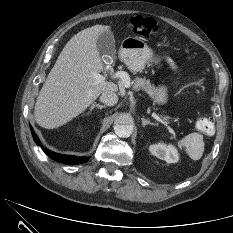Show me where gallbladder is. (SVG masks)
<instances>
[{"label":"gallbladder","instance_id":"bac80fb5","mask_svg":"<svg viewBox=\"0 0 233 233\" xmlns=\"http://www.w3.org/2000/svg\"><path fill=\"white\" fill-rule=\"evenodd\" d=\"M96 44L100 56H115V39L113 33L110 30L101 33L97 39Z\"/></svg>","mask_w":233,"mask_h":233}]
</instances>
